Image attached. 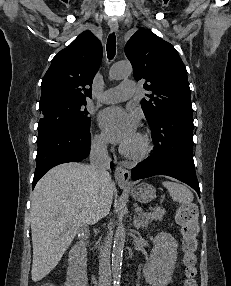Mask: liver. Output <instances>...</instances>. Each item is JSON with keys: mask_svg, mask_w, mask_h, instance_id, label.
Masks as SVG:
<instances>
[{"mask_svg": "<svg viewBox=\"0 0 231 286\" xmlns=\"http://www.w3.org/2000/svg\"><path fill=\"white\" fill-rule=\"evenodd\" d=\"M102 188L110 210L115 189L111 177ZM99 199L98 180L87 164H60L38 181L31 197L34 282L56 267L81 227L99 219L94 217Z\"/></svg>", "mask_w": 231, "mask_h": 286, "instance_id": "obj_1", "label": "liver"}]
</instances>
